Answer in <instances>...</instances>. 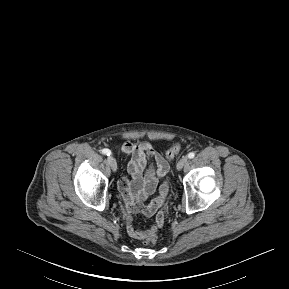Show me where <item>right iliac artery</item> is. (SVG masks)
<instances>
[{
	"instance_id": "82829eb1",
	"label": "right iliac artery",
	"mask_w": 289,
	"mask_h": 289,
	"mask_svg": "<svg viewBox=\"0 0 289 289\" xmlns=\"http://www.w3.org/2000/svg\"><path fill=\"white\" fill-rule=\"evenodd\" d=\"M102 154L110 156L111 155V151L109 149H103L102 150Z\"/></svg>"
}]
</instances>
